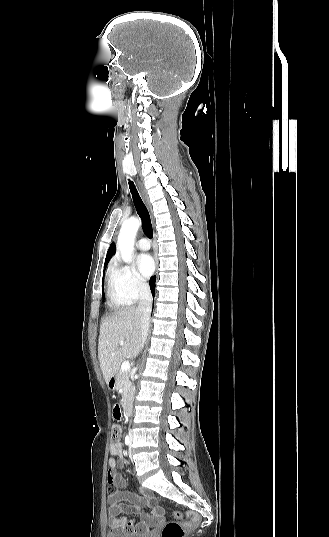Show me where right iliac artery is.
<instances>
[{"label": "right iliac artery", "instance_id": "obj_1", "mask_svg": "<svg viewBox=\"0 0 329 537\" xmlns=\"http://www.w3.org/2000/svg\"><path fill=\"white\" fill-rule=\"evenodd\" d=\"M125 444H126L127 446L130 445V438H129L128 435L125 437Z\"/></svg>", "mask_w": 329, "mask_h": 537}]
</instances>
